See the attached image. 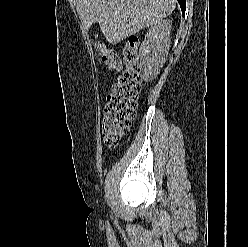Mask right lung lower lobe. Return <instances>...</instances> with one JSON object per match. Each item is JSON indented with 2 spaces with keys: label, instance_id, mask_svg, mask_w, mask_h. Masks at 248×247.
Listing matches in <instances>:
<instances>
[{
  "label": "right lung lower lobe",
  "instance_id": "obj_1",
  "mask_svg": "<svg viewBox=\"0 0 248 247\" xmlns=\"http://www.w3.org/2000/svg\"><path fill=\"white\" fill-rule=\"evenodd\" d=\"M178 3L180 4L181 10H182V14H185V10H186V0H177Z\"/></svg>",
  "mask_w": 248,
  "mask_h": 247
}]
</instances>
